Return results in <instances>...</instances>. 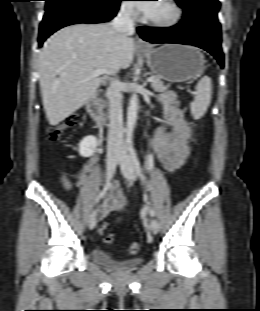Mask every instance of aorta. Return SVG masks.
<instances>
[{
  "label": "aorta",
  "mask_w": 260,
  "mask_h": 311,
  "mask_svg": "<svg viewBox=\"0 0 260 311\" xmlns=\"http://www.w3.org/2000/svg\"><path fill=\"white\" fill-rule=\"evenodd\" d=\"M138 104H139L138 96L136 94H133L130 99L127 111L126 141L128 142L132 140L133 130L136 125Z\"/></svg>",
  "instance_id": "762f6f07"
}]
</instances>
